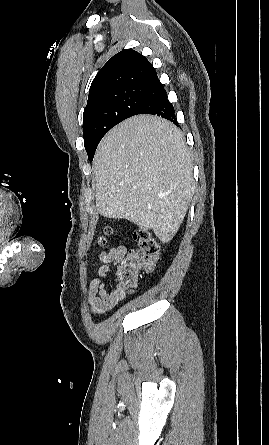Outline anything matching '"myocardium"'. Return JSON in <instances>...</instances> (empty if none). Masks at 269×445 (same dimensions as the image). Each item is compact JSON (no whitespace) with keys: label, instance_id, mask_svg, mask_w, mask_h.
Segmentation results:
<instances>
[{"label":"myocardium","instance_id":"obj_1","mask_svg":"<svg viewBox=\"0 0 269 445\" xmlns=\"http://www.w3.org/2000/svg\"><path fill=\"white\" fill-rule=\"evenodd\" d=\"M8 237H9V234L6 235V236H4L3 238H1V239H0V242L6 240Z\"/></svg>","mask_w":269,"mask_h":445}]
</instances>
